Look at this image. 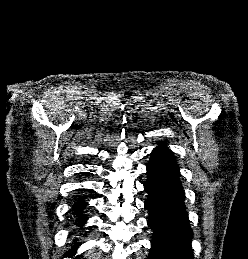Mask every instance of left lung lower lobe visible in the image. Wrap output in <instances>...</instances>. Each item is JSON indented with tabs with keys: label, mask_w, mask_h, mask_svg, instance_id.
Here are the masks:
<instances>
[{
	"label": "left lung lower lobe",
	"mask_w": 248,
	"mask_h": 259,
	"mask_svg": "<svg viewBox=\"0 0 248 259\" xmlns=\"http://www.w3.org/2000/svg\"><path fill=\"white\" fill-rule=\"evenodd\" d=\"M147 175L144 206L150 214L148 225L154 229L149 259H194L179 167L168 148L153 150Z\"/></svg>",
	"instance_id": "0a47b994"
}]
</instances>
